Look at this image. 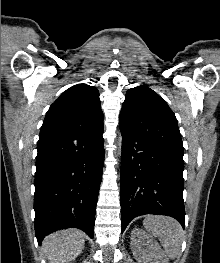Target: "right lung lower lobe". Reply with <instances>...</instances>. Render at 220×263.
<instances>
[{"mask_svg": "<svg viewBox=\"0 0 220 263\" xmlns=\"http://www.w3.org/2000/svg\"><path fill=\"white\" fill-rule=\"evenodd\" d=\"M103 129L69 139L39 141L35 174V234L75 227L90 238L104 165Z\"/></svg>", "mask_w": 220, "mask_h": 263, "instance_id": "98d812e1", "label": "right lung lower lobe"}]
</instances>
